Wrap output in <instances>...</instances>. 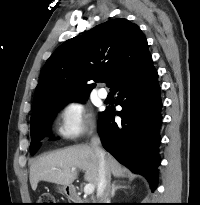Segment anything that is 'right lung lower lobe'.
Listing matches in <instances>:
<instances>
[{
	"label": "right lung lower lobe",
	"instance_id": "1",
	"mask_svg": "<svg viewBox=\"0 0 200 205\" xmlns=\"http://www.w3.org/2000/svg\"><path fill=\"white\" fill-rule=\"evenodd\" d=\"M158 73L152 59L112 91L121 111L107 107L101 113L98 132L103 147L134 173L142 174L152 191L157 187L160 144L161 97ZM122 119L115 122V116Z\"/></svg>",
	"mask_w": 200,
	"mask_h": 205
}]
</instances>
